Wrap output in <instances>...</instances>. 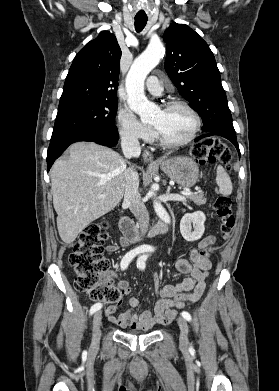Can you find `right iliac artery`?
I'll list each match as a JSON object with an SVG mask.
<instances>
[{"instance_id": "82829eb1", "label": "right iliac artery", "mask_w": 279, "mask_h": 391, "mask_svg": "<svg viewBox=\"0 0 279 391\" xmlns=\"http://www.w3.org/2000/svg\"><path fill=\"white\" fill-rule=\"evenodd\" d=\"M146 251H147V248L138 247V248H135V249L129 251L128 253H126L125 256L123 257V259L121 260V269L125 270L128 267L129 263L133 260V258L136 255H138L140 253H144ZM101 307H102L101 303L94 304L90 309V314L92 315L96 311L100 310Z\"/></svg>"}]
</instances>
